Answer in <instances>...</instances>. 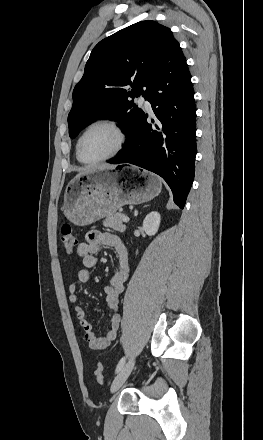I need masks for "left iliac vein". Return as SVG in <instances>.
Wrapping results in <instances>:
<instances>
[{"label":"left iliac vein","instance_id":"left-iliac-vein-1","mask_svg":"<svg viewBox=\"0 0 263 440\" xmlns=\"http://www.w3.org/2000/svg\"><path fill=\"white\" fill-rule=\"evenodd\" d=\"M134 365V358H131L125 365H123L111 384L112 393L116 392L124 384V382L129 377L131 371L133 370Z\"/></svg>","mask_w":263,"mask_h":440}]
</instances>
